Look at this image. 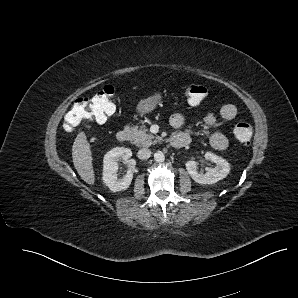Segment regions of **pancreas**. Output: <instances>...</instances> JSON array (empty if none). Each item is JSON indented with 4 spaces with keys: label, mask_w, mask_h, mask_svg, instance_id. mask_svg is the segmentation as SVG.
<instances>
[{
    "label": "pancreas",
    "mask_w": 298,
    "mask_h": 298,
    "mask_svg": "<svg viewBox=\"0 0 298 298\" xmlns=\"http://www.w3.org/2000/svg\"><path fill=\"white\" fill-rule=\"evenodd\" d=\"M130 130L133 143L137 146L149 147L162 141V137L148 133V129L145 126H133Z\"/></svg>",
    "instance_id": "obj_1"
}]
</instances>
